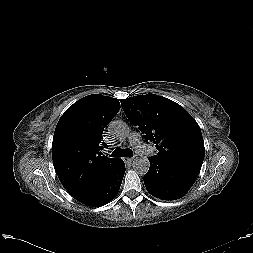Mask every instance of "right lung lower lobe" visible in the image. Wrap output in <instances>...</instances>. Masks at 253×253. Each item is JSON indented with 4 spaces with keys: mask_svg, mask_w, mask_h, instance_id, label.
Returning <instances> with one entry per match:
<instances>
[{
    "mask_svg": "<svg viewBox=\"0 0 253 253\" xmlns=\"http://www.w3.org/2000/svg\"><path fill=\"white\" fill-rule=\"evenodd\" d=\"M124 173L125 164L120 159L115 169L108 176L73 196V198L88 206H102L117 195Z\"/></svg>",
    "mask_w": 253,
    "mask_h": 253,
    "instance_id": "obj_1",
    "label": "right lung lower lobe"
}]
</instances>
